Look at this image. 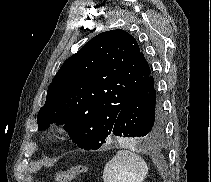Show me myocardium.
I'll list each match as a JSON object with an SVG mask.
<instances>
[{
    "label": "myocardium",
    "instance_id": "obj_1",
    "mask_svg": "<svg viewBox=\"0 0 211 182\" xmlns=\"http://www.w3.org/2000/svg\"><path fill=\"white\" fill-rule=\"evenodd\" d=\"M63 128L64 127L62 125H53L48 129L47 135L48 136H56L63 131Z\"/></svg>",
    "mask_w": 211,
    "mask_h": 182
}]
</instances>
